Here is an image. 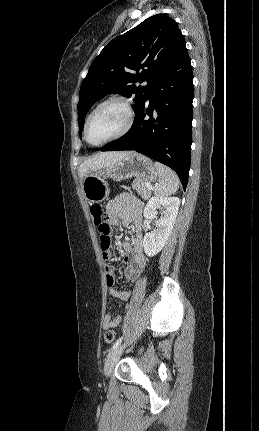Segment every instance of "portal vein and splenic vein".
<instances>
[{"mask_svg":"<svg viewBox=\"0 0 259 431\" xmlns=\"http://www.w3.org/2000/svg\"><path fill=\"white\" fill-rule=\"evenodd\" d=\"M146 186H147V188H148V189H150V190H152V189H153V187H152L149 183H146Z\"/></svg>","mask_w":259,"mask_h":431,"instance_id":"1","label":"portal vein and splenic vein"}]
</instances>
